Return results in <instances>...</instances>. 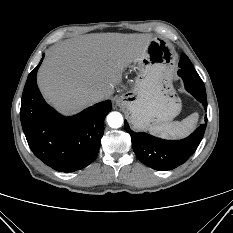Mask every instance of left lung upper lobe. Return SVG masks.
Wrapping results in <instances>:
<instances>
[{
	"mask_svg": "<svg viewBox=\"0 0 233 233\" xmlns=\"http://www.w3.org/2000/svg\"><path fill=\"white\" fill-rule=\"evenodd\" d=\"M197 83L204 85L203 81L201 80V78L199 77V75L197 74Z\"/></svg>",
	"mask_w": 233,
	"mask_h": 233,
	"instance_id": "obj_1",
	"label": "left lung upper lobe"
}]
</instances>
